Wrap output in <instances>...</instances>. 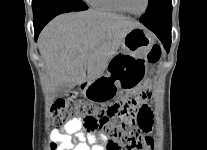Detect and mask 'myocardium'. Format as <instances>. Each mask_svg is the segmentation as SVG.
Wrapping results in <instances>:
<instances>
[{"instance_id":"f54148a6","label":"myocardium","mask_w":207,"mask_h":150,"mask_svg":"<svg viewBox=\"0 0 207 150\" xmlns=\"http://www.w3.org/2000/svg\"><path fill=\"white\" fill-rule=\"evenodd\" d=\"M119 2H120V4L122 5V7L127 11V13H130V14L135 15V16L143 15V14L147 11V9H148V7H149V0H146L144 9H143L141 12L137 13V12H133V11L128 7V4H127V1H126V0H119Z\"/></svg>"}]
</instances>
